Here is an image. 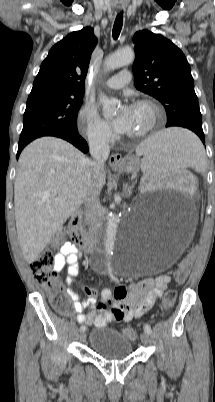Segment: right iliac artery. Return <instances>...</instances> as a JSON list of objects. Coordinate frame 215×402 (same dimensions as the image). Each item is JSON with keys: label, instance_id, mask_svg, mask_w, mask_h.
Here are the masks:
<instances>
[{"label": "right iliac artery", "instance_id": "right-iliac-artery-1", "mask_svg": "<svg viewBox=\"0 0 215 402\" xmlns=\"http://www.w3.org/2000/svg\"><path fill=\"white\" fill-rule=\"evenodd\" d=\"M85 330H86V327H85V326H81V327H80V331H81V332H84Z\"/></svg>", "mask_w": 215, "mask_h": 402}]
</instances>
